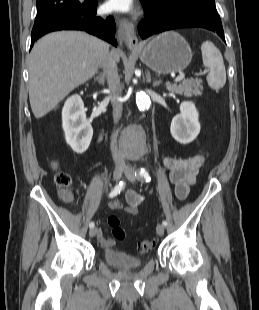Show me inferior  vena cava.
<instances>
[{
    "mask_svg": "<svg viewBox=\"0 0 259 310\" xmlns=\"http://www.w3.org/2000/svg\"><path fill=\"white\" fill-rule=\"evenodd\" d=\"M102 67L104 68L105 75H107L108 79V86L113 93V118L114 123H117L119 118L122 114V102L119 100L121 96V86H120V79L118 76L116 60L113 57L112 53H109L101 63ZM116 132L112 135V142H111V150L112 156L116 163V165L124 164V155L121 151L118 150L116 145Z\"/></svg>",
    "mask_w": 259,
    "mask_h": 310,
    "instance_id": "602c4592",
    "label": "inferior vena cava"
}]
</instances>
